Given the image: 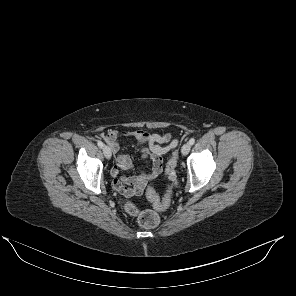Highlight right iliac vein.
Instances as JSON below:
<instances>
[{
  "instance_id": "1",
  "label": "right iliac vein",
  "mask_w": 296,
  "mask_h": 296,
  "mask_svg": "<svg viewBox=\"0 0 296 296\" xmlns=\"http://www.w3.org/2000/svg\"><path fill=\"white\" fill-rule=\"evenodd\" d=\"M103 153H104V156L106 157V159H110L111 158L112 153H111L110 148L107 145H105L103 147Z\"/></svg>"
}]
</instances>
